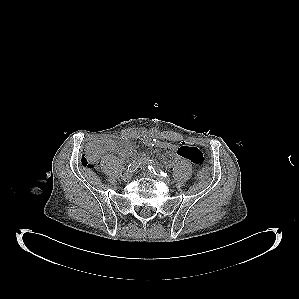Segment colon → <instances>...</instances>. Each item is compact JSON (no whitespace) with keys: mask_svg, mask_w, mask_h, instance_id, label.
<instances>
[{"mask_svg":"<svg viewBox=\"0 0 299 299\" xmlns=\"http://www.w3.org/2000/svg\"><path fill=\"white\" fill-rule=\"evenodd\" d=\"M105 148L102 142H92L86 148L85 153L81 158V164L84 167L96 169L100 166V155ZM209 176L208 171L205 167H202L198 171V177L200 179H207Z\"/></svg>","mask_w":299,"mask_h":299,"instance_id":"colon-1","label":"colon"}]
</instances>
